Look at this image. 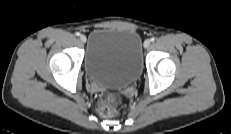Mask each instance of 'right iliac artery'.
Masks as SVG:
<instances>
[{"label":"right iliac artery","instance_id":"82829eb1","mask_svg":"<svg viewBox=\"0 0 231 134\" xmlns=\"http://www.w3.org/2000/svg\"><path fill=\"white\" fill-rule=\"evenodd\" d=\"M75 34H76V36H80V33H79V32H76Z\"/></svg>","mask_w":231,"mask_h":134}]
</instances>
